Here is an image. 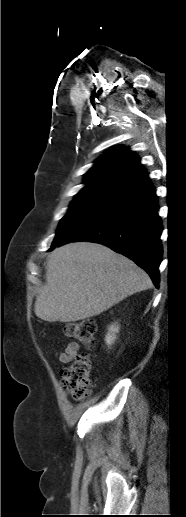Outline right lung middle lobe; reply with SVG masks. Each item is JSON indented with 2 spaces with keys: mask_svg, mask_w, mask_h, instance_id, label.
<instances>
[{
  "mask_svg": "<svg viewBox=\"0 0 186 517\" xmlns=\"http://www.w3.org/2000/svg\"><path fill=\"white\" fill-rule=\"evenodd\" d=\"M115 203L113 200L75 197L68 213L60 221L52 246L64 241L80 227L105 212Z\"/></svg>",
  "mask_w": 186,
  "mask_h": 517,
  "instance_id": "dd1d6c3e",
  "label": "right lung middle lobe"
}]
</instances>
